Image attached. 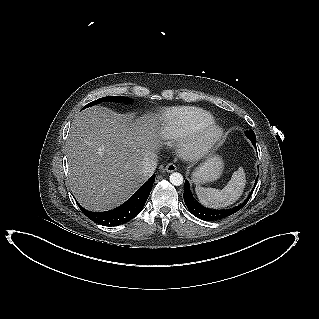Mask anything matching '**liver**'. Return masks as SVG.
<instances>
[{"label":"liver","mask_w":319,"mask_h":319,"mask_svg":"<svg viewBox=\"0 0 319 319\" xmlns=\"http://www.w3.org/2000/svg\"><path fill=\"white\" fill-rule=\"evenodd\" d=\"M156 126L149 116L134 121L102 106L75 117L65 149L69 184L83 207L112 209L148 180L141 162L160 145Z\"/></svg>","instance_id":"obj_1"}]
</instances>
